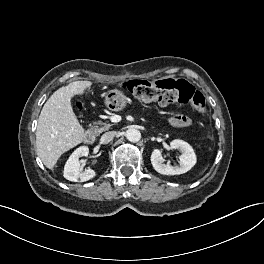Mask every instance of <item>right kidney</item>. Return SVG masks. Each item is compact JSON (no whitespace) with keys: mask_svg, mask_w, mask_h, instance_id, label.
<instances>
[{"mask_svg":"<svg viewBox=\"0 0 264 264\" xmlns=\"http://www.w3.org/2000/svg\"><path fill=\"white\" fill-rule=\"evenodd\" d=\"M89 148L87 146H81L77 148L67 160L63 176L69 181L73 182H85L96 176V172L93 169H83L80 167L79 158L87 156Z\"/></svg>","mask_w":264,"mask_h":264,"instance_id":"obj_1","label":"right kidney"}]
</instances>
